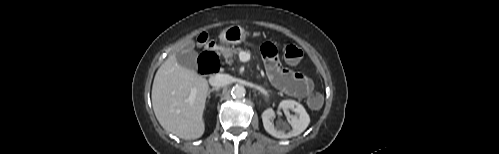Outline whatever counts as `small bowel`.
I'll list each match as a JSON object with an SVG mask.
<instances>
[{
	"label": "small bowel",
	"instance_id": "small-bowel-1",
	"mask_svg": "<svg viewBox=\"0 0 499 154\" xmlns=\"http://www.w3.org/2000/svg\"><path fill=\"white\" fill-rule=\"evenodd\" d=\"M262 54L265 59V70L272 84L281 91L295 97H306L313 89L312 80L298 72L283 68L277 58L274 45L264 44Z\"/></svg>",
	"mask_w": 499,
	"mask_h": 154
}]
</instances>
